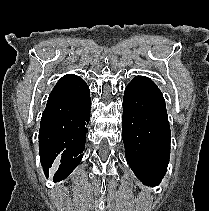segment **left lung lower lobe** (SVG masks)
Returning <instances> with one entry per match:
<instances>
[{
  "mask_svg": "<svg viewBox=\"0 0 209 211\" xmlns=\"http://www.w3.org/2000/svg\"><path fill=\"white\" fill-rule=\"evenodd\" d=\"M122 139L125 156L136 177L157 186L170 157V126L164 97L156 84L136 76L123 97Z\"/></svg>",
  "mask_w": 209,
  "mask_h": 211,
  "instance_id": "left-lung-lower-lobe-1",
  "label": "left lung lower lobe"
}]
</instances>
